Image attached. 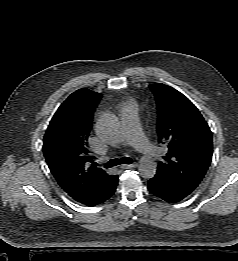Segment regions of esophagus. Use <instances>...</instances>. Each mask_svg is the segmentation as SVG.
Wrapping results in <instances>:
<instances>
[{
	"label": "esophagus",
	"mask_w": 238,
	"mask_h": 261,
	"mask_svg": "<svg viewBox=\"0 0 238 261\" xmlns=\"http://www.w3.org/2000/svg\"><path fill=\"white\" fill-rule=\"evenodd\" d=\"M137 166V163H132V164H123L121 165L122 169H130V168H134Z\"/></svg>",
	"instance_id": "34e87169"
}]
</instances>
